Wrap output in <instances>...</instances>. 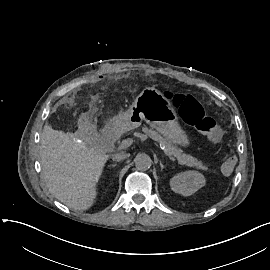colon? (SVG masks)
Returning a JSON list of instances; mask_svg holds the SVG:
<instances>
[{"label": "colon", "mask_w": 270, "mask_h": 270, "mask_svg": "<svg viewBox=\"0 0 270 270\" xmlns=\"http://www.w3.org/2000/svg\"><path fill=\"white\" fill-rule=\"evenodd\" d=\"M164 97L182 115L188 125L193 126L207 136L213 144H221L223 141L221 129L213 118L204 114L200 103L193 95L176 91H165ZM234 169L235 163L231 159H226L221 165V170L225 174H230Z\"/></svg>", "instance_id": "obj_1"}]
</instances>
